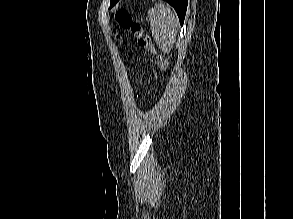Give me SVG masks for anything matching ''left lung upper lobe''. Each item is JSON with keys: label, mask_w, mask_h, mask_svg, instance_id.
Wrapping results in <instances>:
<instances>
[{"label": "left lung upper lobe", "mask_w": 293, "mask_h": 219, "mask_svg": "<svg viewBox=\"0 0 293 219\" xmlns=\"http://www.w3.org/2000/svg\"><path fill=\"white\" fill-rule=\"evenodd\" d=\"M117 0H111L110 5L114 4Z\"/></svg>", "instance_id": "obj_1"}]
</instances>
